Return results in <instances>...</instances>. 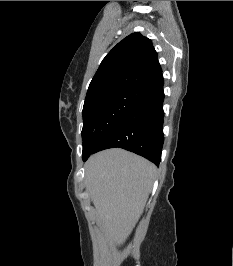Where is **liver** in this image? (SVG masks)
I'll list each match as a JSON object with an SVG mask.
<instances>
[{"label":"liver","mask_w":233,"mask_h":266,"mask_svg":"<svg viewBox=\"0 0 233 266\" xmlns=\"http://www.w3.org/2000/svg\"><path fill=\"white\" fill-rule=\"evenodd\" d=\"M157 168L120 148L92 155L85 164L87 191L108 240L123 244L149 197Z\"/></svg>","instance_id":"6515ba94"}]
</instances>
